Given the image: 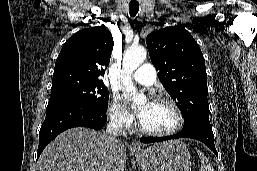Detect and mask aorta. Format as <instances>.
<instances>
[{"instance_id": "aorta-1", "label": "aorta", "mask_w": 257, "mask_h": 171, "mask_svg": "<svg viewBox=\"0 0 257 171\" xmlns=\"http://www.w3.org/2000/svg\"><path fill=\"white\" fill-rule=\"evenodd\" d=\"M146 49L142 46L130 47L126 50L123 57V68L126 76L122 80L123 89L133 96L136 104H141L145 101L144 95H137L136 88L131 80L132 72L137 69L146 59Z\"/></svg>"}]
</instances>
